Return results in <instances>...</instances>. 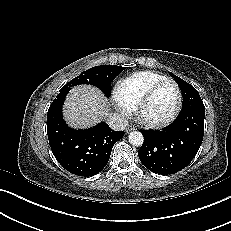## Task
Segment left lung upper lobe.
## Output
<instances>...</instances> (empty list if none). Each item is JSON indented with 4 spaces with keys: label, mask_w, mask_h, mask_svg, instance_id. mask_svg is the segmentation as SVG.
Returning <instances> with one entry per match:
<instances>
[{
    "label": "left lung upper lobe",
    "mask_w": 231,
    "mask_h": 231,
    "mask_svg": "<svg viewBox=\"0 0 231 231\" xmlns=\"http://www.w3.org/2000/svg\"><path fill=\"white\" fill-rule=\"evenodd\" d=\"M171 76L178 83L183 96V105L181 111L189 109L194 105H204L198 91L189 83L171 73Z\"/></svg>",
    "instance_id": "5c2ea615"
}]
</instances>
